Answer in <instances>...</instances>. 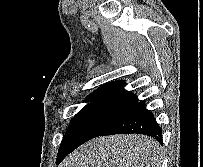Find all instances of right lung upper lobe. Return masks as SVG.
Listing matches in <instances>:
<instances>
[{
    "mask_svg": "<svg viewBox=\"0 0 203 167\" xmlns=\"http://www.w3.org/2000/svg\"><path fill=\"white\" fill-rule=\"evenodd\" d=\"M125 82L113 81L100 86L87 96V101L107 102L115 105L133 107L138 98L134 94L124 90Z\"/></svg>",
    "mask_w": 203,
    "mask_h": 167,
    "instance_id": "right-lung-upper-lobe-1",
    "label": "right lung upper lobe"
}]
</instances>
